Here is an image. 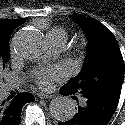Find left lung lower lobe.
Listing matches in <instances>:
<instances>
[{
    "label": "left lung lower lobe",
    "mask_w": 125,
    "mask_h": 125,
    "mask_svg": "<svg viewBox=\"0 0 125 125\" xmlns=\"http://www.w3.org/2000/svg\"><path fill=\"white\" fill-rule=\"evenodd\" d=\"M62 95H70L64 86L59 91ZM83 106H79L78 112L66 122H58V125H106L112 118L118 102V96L85 98Z\"/></svg>",
    "instance_id": "1"
}]
</instances>
